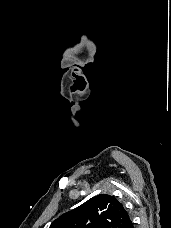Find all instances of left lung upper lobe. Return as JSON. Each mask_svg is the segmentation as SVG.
I'll list each match as a JSON object with an SVG mask.
<instances>
[{
  "instance_id": "obj_1",
  "label": "left lung upper lobe",
  "mask_w": 171,
  "mask_h": 228,
  "mask_svg": "<svg viewBox=\"0 0 171 228\" xmlns=\"http://www.w3.org/2000/svg\"><path fill=\"white\" fill-rule=\"evenodd\" d=\"M129 219L114 196L100 194L63 214L49 228H122Z\"/></svg>"
}]
</instances>
